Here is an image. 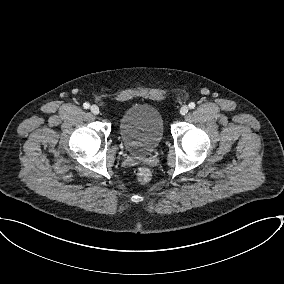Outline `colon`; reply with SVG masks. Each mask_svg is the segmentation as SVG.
Wrapping results in <instances>:
<instances>
[{"label":"colon","instance_id":"obj_1","mask_svg":"<svg viewBox=\"0 0 284 284\" xmlns=\"http://www.w3.org/2000/svg\"><path fill=\"white\" fill-rule=\"evenodd\" d=\"M151 178V172L146 167H140L136 172V180L141 183H147Z\"/></svg>","mask_w":284,"mask_h":284}]
</instances>
